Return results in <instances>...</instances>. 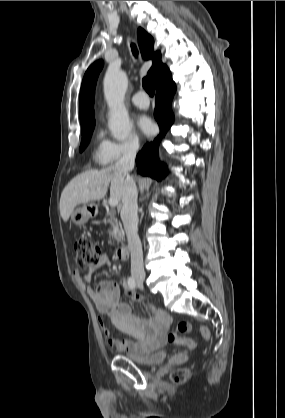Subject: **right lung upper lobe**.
I'll list each match as a JSON object with an SVG mask.
<instances>
[{
  "mask_svg": "<svg viewBox=\"0 0 285 418\" xmlns=\"http://www.w3.org/2000/svg\"><path fill=\"white\" fill-rule=\"evenodd\" d=\"M138 43L145 60L152 59L153 65L148 74L154 79L158 88L163 85L171 73L166 65L161 62L160 52H154L153 38L142 28L138 29ZM103 60L94 62L86 71L80 90V122L81 128L95 123L94 121V95L99 72L103 68Z\"/></svg>",
  "mask_w": 285,
  "mask_h": 418,
  "instance_id": "right-lung-upper-lobe-1",
  "label": "right lung upper lobe"
}]
</instances>
